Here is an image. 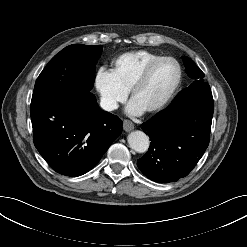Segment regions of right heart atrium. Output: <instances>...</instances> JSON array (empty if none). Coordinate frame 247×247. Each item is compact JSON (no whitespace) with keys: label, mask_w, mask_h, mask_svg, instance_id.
<instances>
[{"label":"right heart atrium","mask_w":247,"mask_h":247,"mask_svg":"<svg viewBox=\"0 0 247 247\" xmlns=\"http://www.w3.org/2000/svg\"><path fill=\"white\" fill-rule=\"evenodd\" d=\"M93 86L99 96L101 106L107 111L115 110L128 95V91L117 83L111 71L104 67L96 71Z\"/></svg>","instance_id":"obj_1"}]
</instances>
